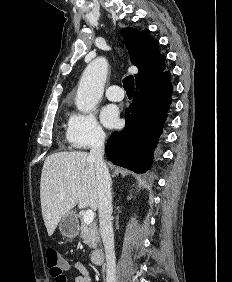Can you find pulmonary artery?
Here are the masks:
<instances>
[{
	"mask_svg": "<svg viewBox=\"0 0 232 282\" xmlns=\"http://www.w3.org/2000/svg\"><path fill=\"white\" fill-rule=\"evenodd\" d=\"M105 95L111 101H120L124 98V92L118 85H111L107 87Z\"/></svg>",
	"mask_w": 232,
	"mask_h": 282,
	"instance_id": "pulmonary-artery-1",
	"label": "pulmonary artery"
}]
</instances>
